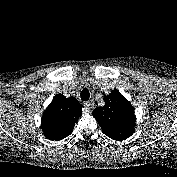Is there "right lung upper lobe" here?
Returning a JSON list of instances; mask_svg holds the SVG:
<instances>
[{
	"label": "right lung upper lobe",
	"mask_w": 177,
	"mask_h": 177,
	"mask_svg": "<svg viewBox=\"0 0 177 177\" xmlns=\"http://www.w3.org/2000/svg\"><path fill=\"white\" fill-rule=\"evenodd\" d=\"M81 115L82 106L76 98L57 94L43 113V134L52 141L64 139L72 133Z\"/></svg>",
	"instance_id": "right-lung-upper-lobe-1"
}]
</instances>
